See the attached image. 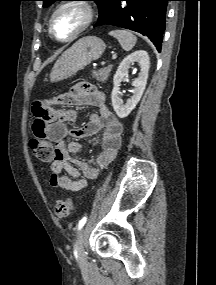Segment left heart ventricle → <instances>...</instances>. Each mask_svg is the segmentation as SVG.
I'll return each instance as SVG.
<instances>
[{"label": "left heart ventricle", "mask_w": 216, "mask_h": 285, "mask_svg": "<svg viewBox=\"0 0 216 285\" xmlns=\"http://www.w3.org/2000/svg\"><path fill=\"white\" fill-rule=\"evenodd\" d=\"M84 13L75 7L60 11L53 21V33L58 38H67L82 24Z\"/></svg>", "instance_id": "1"}]
</instances>
